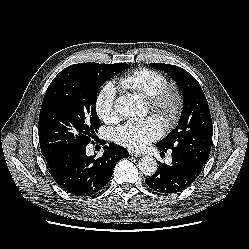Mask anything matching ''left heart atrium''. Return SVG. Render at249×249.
I'll return each mask as SVG.
<instances>
[{
    "instance_id": "1",
    "label": "left heart atrium",
    "mask_w": 249,
    "mask_h": 249,
    "mask_svg": "<svg viewBox=\"0 0 249 249\" xmlns=\"http://www.w3.org/2000/svg\"><path fill=\"white\" fill-rule=\"evenodd\" d=\"M163 123L158 116L133 119L118 127L114 140L129 149L142 150L163 133Z\"/></svg>"
}]
</instances>
